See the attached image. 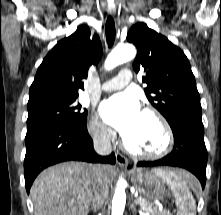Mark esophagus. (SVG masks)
Returning a JSON list of instances; mask_svg holds the SVG:
<instances>
[{"instance_id":"esophagus-1","label":"esophagus","mask_w":221,"mask_h":215,"mask_svg":"<svg viewBox=\"0 0 221 215\" xmlns=\"http://www.w3.org/2000/svg\"><path fill=\"white\" fill-rule=\"evenodd\" d=\"M108 13L111 15V16H115L116 14V9L114 6H109L108 7ZM115 157H116V162L118 165L120 166H126L128 164V160L127 158L120 152H116L115 153Z\"/></svg>"}]
</instances>
